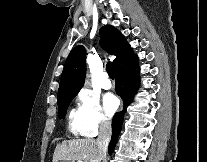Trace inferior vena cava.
Segmentation results:
<instances>
[{
	"instance_id": "inferior-vena-cava-1",
	"label": "inferior vena cava",
	"mask_w": 207,
	"mask_h": 162,
	"mask_svg": "<svg viewBox=\"0 0 207 162\" xmlns=\"http://www.w3.org/2000/svg\"><path fill=\"white\" fill-rule=\"evenodd\" d=\"M111 134H112V128H111V123L108 120L103 119L100 122V128H99V135L97 138V145H98V150H99V161L106 158V153L108 149V144L111 139Z\"/></svg>"
}]
</instances>
